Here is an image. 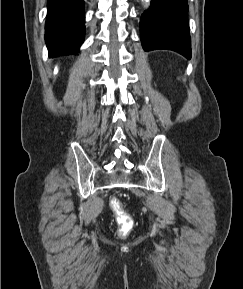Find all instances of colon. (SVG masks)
<instances>
[{
    "mask_svg": "<svg viewBox=\"0 0 243 289\" xmlns=\"http://www.w3.org/2000/svg\"><path fill=\"white\" fill-rule=\"evenodd\" d=\"M110 206L116 216V220L119 225V235L121 237L127 236L134 225L131 216L124 210L121 202L116 197L111 199Z\"/></svg>",
    "mask_w": 243,
    "mask_h": 289,
    "instance_id": "obj_1",
    "label": "colon"
}]
</instances>
